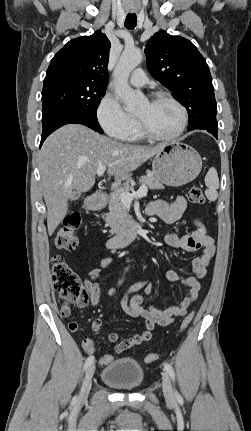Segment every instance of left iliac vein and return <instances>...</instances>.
<instances>
[{"mask_svg": "<svg viewBox=\"0 0 251 431\" xmlns=\"http://www.w3.org/2000/svg\"><path fill=\"white\" fill-rule=\"evenodd\" d=\"M162 389L167 401L174 400L173 388L170 378L166 372L162 373Z\"/></svg>", "mask_w": 251, "mask_h": 431, "instance_id": "left-iliac-vein-1", "label": "left iliac vein"}]
</instances>
